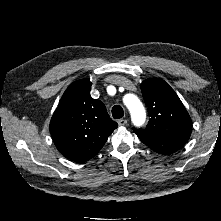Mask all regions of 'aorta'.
<instances>
[{"label": "aorta", "instance_id": "aorta-1", "mask_svg": "<svg viewBox=\"0 0 221 221\" xmlns=\"http://www.w3.org/2000/svg\"><path fill=\"white\" fill-rule=\"evenodd\" d=\"M124 103L130 111L132 123L137 127L142 126L146 121V111L143 104L132 94L124 97Z\"/></svg>", "mask_w": 221, "mask_h": 221}]
</instances>
